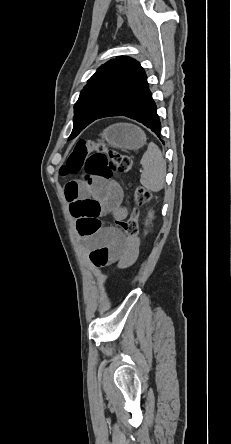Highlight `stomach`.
I'll return each mask as SVG.
<instances>
[{
    "label": "stomach",
    "mask_w": 231,
    "mask_h": 444,
    "mask_svg": "<svg viewBox=\"0 0 231 444\" xmlns=\"http://www.w3.org/2000/svg\"><path fill=\"white\" fill-rule=\"evenodd\" d=\"M101 136L109 145L123 150H137L146 143L145 133L132 124L112 125L105 129Z\"/></svg>",
    "instance_id": "stomach-1"
}]
</instances>
